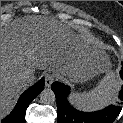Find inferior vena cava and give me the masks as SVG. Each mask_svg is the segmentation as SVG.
<instances>
[{
  "label": "inferior vena cava",
  "instance_id": "1",
  "mask_svg": "<svg viewBox=\"0 0 123 123\" xmlns=\"http://www.w3.org/2000/svg\"><path fill=\"white\" fill-rule=\"evenodd\" d=\"M22 78H23L25 81H30L31 78H32V76H31V74H30L28 71H26V72H24V73L22 74Z\"/></svg>",
  "mask_w": 123,
  "mask_h": 123
}]
</instances>
